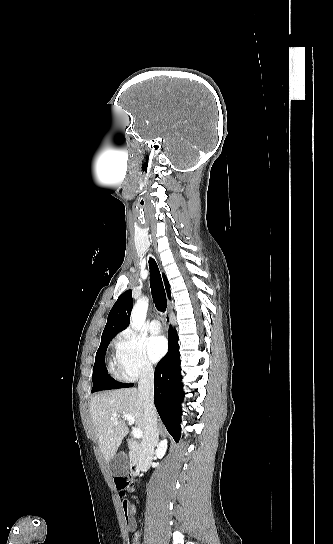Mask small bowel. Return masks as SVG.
Returning <instances> with one entry per match:
<instances>
[{
    "instance_id": "obj_1",
    "label": "small bowel",
    "mask_w": 333,
    "mask_h": 544,
    "mask_svg": "<svg viewBox=\"0 0 333 544\" xmlns=\"http://www.w3.org/2000/svg\"><path fill=\"white\" fill-rule=\"evenodd\" d=\"M124 514L126 517V523L129 528V530L133 531L136 528V521H135V507L128 502L122 503Z\"/></svg>"
}]
</instances>
